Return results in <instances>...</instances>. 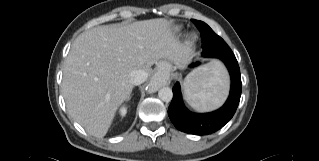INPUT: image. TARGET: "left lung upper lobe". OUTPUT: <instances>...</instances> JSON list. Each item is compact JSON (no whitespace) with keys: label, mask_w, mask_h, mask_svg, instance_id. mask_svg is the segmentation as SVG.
Segmentation results:
<instances>
[{"label":"left lung upper lobe","mask_w":319,"mask_h":161,"mask_svg":"<svg viewBox=\"0 0 319 161\" xmlns=\"http://www.w3.org/2000/svg\"><path fill=\"white\" fill-rule=\"evenodd\" d=\"M192 22L201 32L202 56L221 58L225 55H233V52L221 37L214 32H212V34L207 32L210 29L207 24L198 20H192Z\"/></svg>","instance_id":"left-lung-upper-lobe-1"}]
</instances>
